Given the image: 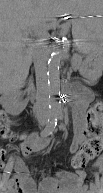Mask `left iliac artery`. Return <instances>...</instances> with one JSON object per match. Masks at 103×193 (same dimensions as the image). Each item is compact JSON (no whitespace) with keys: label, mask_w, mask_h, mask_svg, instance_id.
<instances>
[{"label":"left iliac artery","mask_w":103,"mask_h":193,"mask_svg":"<svg viewBox=\"0 0 103 193\" xmlns=\"http://www.w3.org/2000/svg\"><path fill=\"white\" fill-rule=\"evenodd\" d=\"M57 117L59 120H62L63 119V114L61 112H59L57 114ZM90 187L93 189L95 187V185L93 183L90 184Z\"/></svg>","instance_id":"1"}]
</instances>
